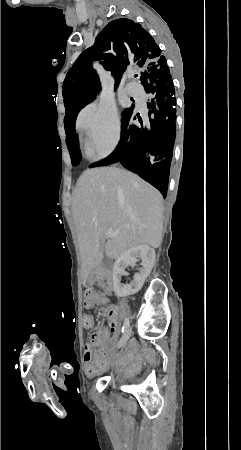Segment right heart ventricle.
Wrapping results in <instances>:
<instances>
[{
  "label": "right heart ventricle",
  "mask_w": 241,
  "mask_h": 450,
  "mask_svg": "<svg viewBox=\"0 0 241 450\" xmlns=\"http://www.w3.org/2000/svg\"><path fill=\"white\" fill-rule=\"evenodd\" d=\"M79 132H80V142H81V145H82L83 149L85 150V139L87 140L85 129L84 130H79ZM89 157L93 158L91 155H89Z\"/></svg>",
  "instance_id": "right-heart-ventricle-1"
}]
</instances>
